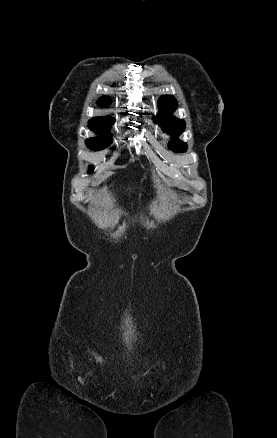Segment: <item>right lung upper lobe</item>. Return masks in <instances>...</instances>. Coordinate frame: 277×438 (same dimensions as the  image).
I'll return each instance as SVG.
<instances>
[{"label": "right lung upper lobe", "mask_w": 277, "mask_h": 438, "mask_svg": "<svg viewBox=\"0 0 277 438\" xmlns=\"http://www.w3.org/2000/svg\"><path fill=\"white\" fill-rule=\"evenodd\" d=\"M109 104V99L102 97L98 100V105L105 107ZM114 119L111 117H94L89 121L90 128H101L111 126Z\"/></svg>", "instance_id": "right-lung-upper-lobe-1"}]
</instances>
